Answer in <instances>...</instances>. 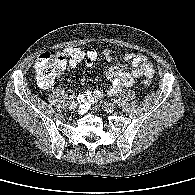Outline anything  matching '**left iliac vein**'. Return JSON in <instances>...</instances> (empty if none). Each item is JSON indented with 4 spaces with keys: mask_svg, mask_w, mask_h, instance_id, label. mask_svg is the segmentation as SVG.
I'll return each mask as SVG.
<instances>
[{
    "mask_svg": "<svg viewBox=\"0 0 195 195\" xmlns=\"http://www.w3.org/2000/svg\"><path fill=\"white\" fill-rule=\"evenodd\" d=\"M103 108L108 112H113L116 110V106L113 103L106 102L103 104Z\"/></svg>",
    "mask_w": 195,
    "mask_h": 195,
    "instance_id": "1",
    "label": "left iliac vein"
}]
</instances>
